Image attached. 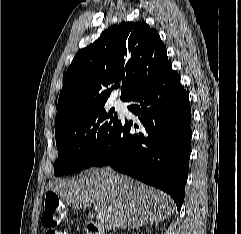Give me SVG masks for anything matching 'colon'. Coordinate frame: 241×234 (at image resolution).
<instances>
[{"instance_id": "colon-1", "label": "colon", "mask_w": 241, "mask_h": 234, "mask_svg": "<svg viewBox=\"0 0 241 234\" xmlns=\"http://www.w3.org/2000/svg\"><path fill=\"white\" fill-rule=\"evenodd\" d=\"M68 218L67 207L62 203L56 194H47L45 199V210L42 215V223L48 228L52 229Z\"/></svg>"}]
</instances>
